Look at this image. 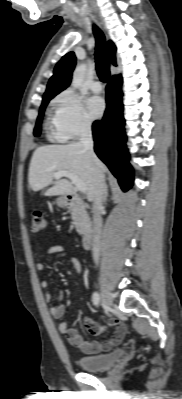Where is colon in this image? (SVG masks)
I'll return each instance as SVG.
<instances>
[{"instance_id": "1", "label": "colon", "mask_w": 182, "mask_h": 399, "mask_svg": "<svg viewBox=\"0 0 182 399\" xmlns=\"http://www.w3.org/2000/svg\"><path fill=\"white\" fill-rule=\"evenodd\" d=\"M47 228V222L41 212H34L31 217L30 231L33 234H42Z\"/></svg>"}]
</instances>
